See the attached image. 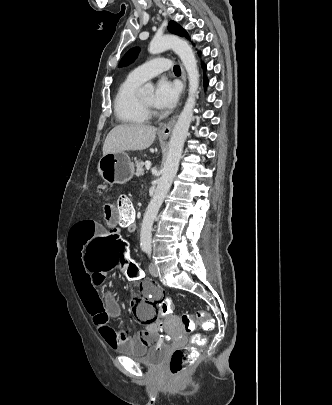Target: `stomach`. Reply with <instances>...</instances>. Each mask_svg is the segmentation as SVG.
Returning a JSON list of instances; mask_svg holds the SVG:
<instances>
[{
    "label": "stomach",
    "mask_w": 332,
    "mask_h": 405,
    "mask_svg": "<svg viewBox=\"0 0 332 405\" xmlns=\"http://www.w3.org/2000/svg\"><path fill=\"white\" fill-rule=\"evenodd\" d=\"M97 169L103 180L110 184L126 182L134 175V164L125 152L103 155Z\"/></svg>",
    "instance_id": "obj_1"
}]
</instances>
